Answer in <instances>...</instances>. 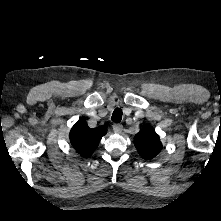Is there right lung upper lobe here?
<instances>
[{
	"mask_svg": "<svg viewBox=\"0 0 221 221\" xmlns=\"http://www.w3.org/2000/svg\"><path fill=\"white\" fill-rule=\"evenodd\" d=\"M107 133L106 126L89 128L84 119H80L70 131V141L75 150L83 157H90L97 148L100 139Z\"/></svg>",
	"mask_w": 221,
	"mask_h": 221,
	"instance_id": "obj_1",
	"label": "right lung upper lobe"
}]
</instances>
